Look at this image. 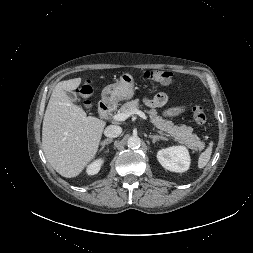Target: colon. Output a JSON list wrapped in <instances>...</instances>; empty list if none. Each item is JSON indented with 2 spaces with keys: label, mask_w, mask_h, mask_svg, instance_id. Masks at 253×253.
Returning a JSON list of instances; mask_svg holds the SVG:
<instances>
[{
  "label": "colon",
  "mask_w": 253,
  "mask_h": 253,
  "mask_svg": "<svg viewBox=\"0 0 253 253\" xmlns=\"http://www.w3.org/2000/svg\"><path fill=\"white\" fill-rule=\"evenodd\" d=\"M144 78L158 82L161 84H169L174 80L173 73L166 70H152L143 73ZM91 85L89 82L82 83L77 89L78 94L85 100V104L89 105V96L91 95ZM192 115L196 124L204 125L207 121L206 114L203 107L200 104H195L192 107Z\"/></svg>",
  "instance_id": "1"
}]
</instances>
